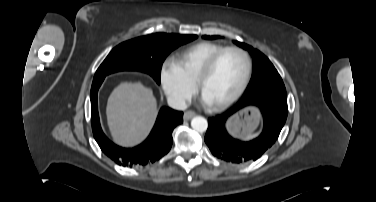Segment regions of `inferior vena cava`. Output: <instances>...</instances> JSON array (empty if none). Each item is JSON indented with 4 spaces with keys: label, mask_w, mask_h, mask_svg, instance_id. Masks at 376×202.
<instances>
[{
    "label": "inferior vena cava",
    "mask_w": 376,
    "mask_h": 202,
    "mask_svg": "<svg viewBox=\"0 0 376 202\" xmlns=\"http://www.w3.org/2000/svg\"><path fill=\"white\" fill-rule=\"evenodd\" d=\"M168 105L176 110H185L187 109L188 105L186 100L181 96H169L167 98Z\"/></svg>",
    "instance_id": "obj_1"
}]
</instances>
